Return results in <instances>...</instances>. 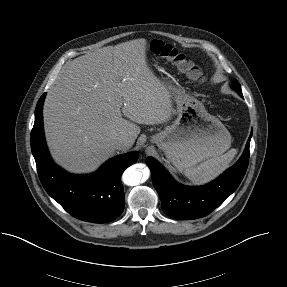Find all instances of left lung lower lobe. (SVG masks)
Listing matches in <instances>:
<instances>
[{
  "label": "left lung lower lobe",
  "instance_id": "obj_1",
  "mask_svg": "<svg viewBox=\"0 0 287 287\" xmlns=\"http://www.w3.org/2000/svg\"><path fill=\"white\" fill-rule=\"evenodd\" d=\"M251 136L252 133L237 163L216 180L202 186L177 183L154 158L148 157L147 165L151 169L152 181L164 213L174 219H197L208 215L223 203L237 189L245 175Z\"/></svg>",
  "mask_w": 287,
  "mask_h": 287
}]
</instances>
